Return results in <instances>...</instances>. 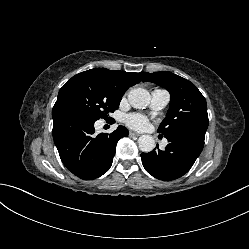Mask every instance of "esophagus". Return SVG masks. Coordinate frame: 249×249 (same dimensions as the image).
<instances>
[{"mask_svg":"<svg viewBox=\"0 0 249 249\" xmlns=\"http://www.w3.org/2000/svg\"><path fill=\"white\" fill-rule=\"evenodd\" d=\"M129 135H130V136H137V137H138V136H140V134H139V133L132 132V131H131V132H129Z\"/></svg>","mask_w":249,"mask_h":249,"instance_id":"obj_1","label":"esophagus"}]
</instances>
